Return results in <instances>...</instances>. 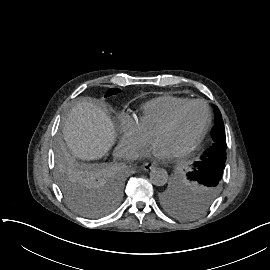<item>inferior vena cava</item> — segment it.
I'll list each match as a JSON object with an SVG mask.
<instances>
[{
	"label": "inferior vena cava",
	"instance_id": "602c4592",
	"mask_svg": "<svg viewBox=\"0 0 270 270\" xmlns=\"http://www.w3.org/2000/svg\"><path fill=\"white\" fill-rule=\"evenodd\" d=\"M113 156L114 158L135 160L138 158V152L125 143H119L113 151Z\"/></svg>",
	"mask_w": 270,
	"mask_h": 270
}]
</instances>
